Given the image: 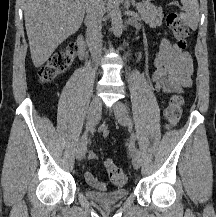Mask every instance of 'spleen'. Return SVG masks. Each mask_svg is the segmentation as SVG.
Wrapping results in <instances>:
<instances>
[{"mask_svg": "<svg viewBox=\"0 0 216 217\" xmlns=\"http://www.w3.org/2000/svg\"><path fill=\"white\" fill-rule=\"evenodd\" d=\"M184 13L180 14L181 19L192 29L196 30L199 22V3L198 0H181Z\"/></svg>", "mask_w": 216, "mask_h": 217, "instance_id": "spleen-1", "label": "spleen"}]
</instances>
